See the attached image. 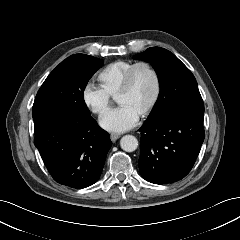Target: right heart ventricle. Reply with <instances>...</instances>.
<instances>
[{
  "instance_id": "e07e8e85",
  "label": "right heart ventricle",
  "mask_w": 240,
  "mask_h": 240,
  "mask_svg": "<svg viewBox=\"0 0 240 240\" xmlns=\"http://www.w3.org/2000/svg\"><path fill=\"white\" fill-rule=\"evenodd\" d=\"M135 62L118 60L108 64L98 74L101 88L111 97H116L127 71Z\"/></svg>"
}]
</instances>
